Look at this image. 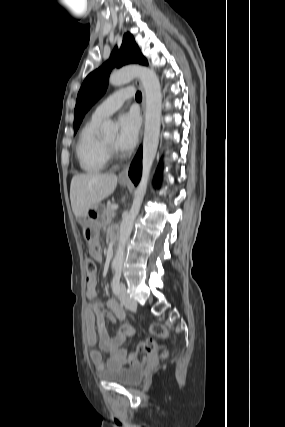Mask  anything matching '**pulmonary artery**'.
<instances>
[{"label":"pulmonary artery","mask_w":285,"mask_h":427,"mask_svg":"<svg viewBox=\"0 0 285 427\" xmlns=\"http://www.w3.org/2000/svg\"><path fill=\"white\" fill-rule=\"evenodd\" d=\"M133 94L134 91L132 87H127L114 92L96 107L92 117L99 120L107 118L121 108L124 102L130 99Z\"/></svg>","instance_id":"obj_1"}]
</instances>
